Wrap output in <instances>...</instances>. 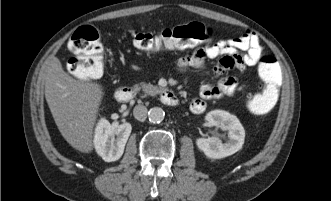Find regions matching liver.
Wrapping results in <instances>:
<instances>
[{"instance_id": "liver-1", "label": "liver", "mask_w": 331, "mask_h": 201, "mask_svg": "<svg viewBox=\"0 0 331 201\" xmlns=\"http://www.w3.org/2000/svg\"><path fill=\"white\" fill-rule=\"evenodd\" d=\"M45 98L63 138L76 150H93V129L103 98L100 84L81 82L66 73L57 57L43 69Z\"/></svg>"}]
</instances>
